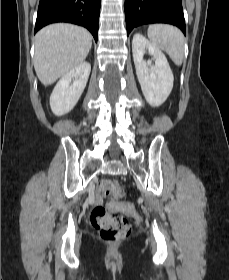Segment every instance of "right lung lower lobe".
I'll use <instances>...</instances> for the list:
<instances>
[{
  "mask_svg": "<svg viewBox=\"0 0 229 280\" xmlns=\"http://www.w3.org/2000/svg\"><path fill=\"white\" fill-rule=\"evenodd\" d=\"M101 0H40L35 33L55 22H69L87 28L97 41Z\"/></svg>",
  "mask_w": 229,
  "mask_h": 280,
  "instance_id": "obj_1",
  "label": "right lung lower lobe"
}]
</instances>
